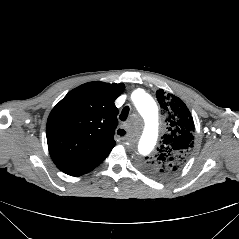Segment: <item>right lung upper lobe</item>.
<instances>
[{
  "label": "right lung upper lobe",
  "instance_id": "obj_1",
  "mask_svg": "<svg viewBox=\"0 0 239 239\" xmlns=\"http://www.w3.org/2000/svg\"><path fill=\"white\" fill-rule=\"evenodd\" d=\"M124 84L90 82L70 91L51 111L46 126L50 156L64 173L92 171L115 146L118 124L114 101Z\"/></svg>",
  "mask_w": 239,
  "mask_h": 239
}]
</instances>
